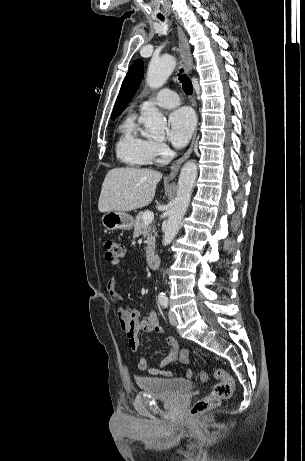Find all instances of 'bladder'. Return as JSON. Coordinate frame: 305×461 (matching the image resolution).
<instances>
[{"mask_svg": "<svg viewBox=\"0 0 305 461\" xmlns=\"http://www.w3.org/2000/svg\"><path fill=\"white\" fill-rule=\"evenodd\" d=\"M137 384L142 392L165 400H174L192 389L190 380L159 376H140Z\"/></svg>", "mask_w": 305, "mask_h": 461, "instance_id": "bladder-1", "label": "bladder"}]
</instances>
